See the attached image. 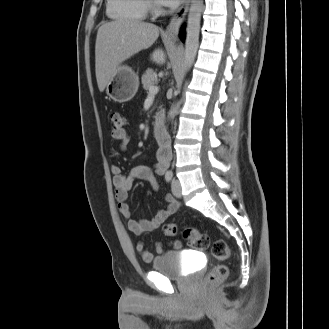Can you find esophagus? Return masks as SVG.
<instances>
[{"label": "esophagus", "instance_id": "esophagus-1", "mask_svg": "<svg viewBox=\"0 0 329 329\" xmlns=\"http://www.w3.org/2000/svg\"><path fill=\"white\" fill-rule=\"evenodd\" d=\"M191 0H182V4L172 17L170 23L166 28V34L170 36H177L181 25L183 24L186 14L189 10Z\"/></svg>", "mask_w": 329, "mask_h": 329}]
</instances>
